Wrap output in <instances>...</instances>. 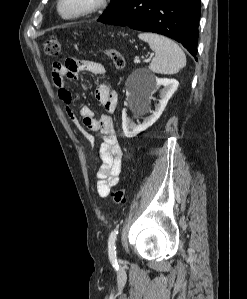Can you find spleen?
<instances>
[{
  "label": "spleen",
  "mask_w": 247,
  "mask_h": 299,
  "mask_svg": "<svg viewBox=\"0 0 247 299\" xmlns=\"http://www.w3.org/2000/svg\"><path fill=\"white\" fill-rule=\"evenodd\" d=\"M138 37L147 42L155 52V57L149 65L150 71L158 74H174L185 67V53L171 39L153 33H141Z\"/></svg>",
  "instance_id": "spleen-1"
}]
</instances>
